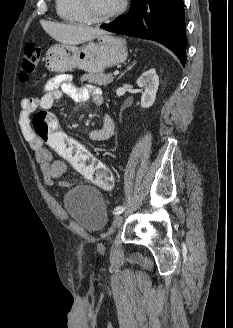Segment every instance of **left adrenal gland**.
Segmentation results:
<instances>
[{
	"instance_id": "obj_1",
	"label": "left adrenal gland",
	"mask_w": 233,
	"mask_h": 328,
	"mask_svg": "<svg viewBox=\"0 0 233 328\" xmlns=\"http://www.w3.org/2000/svg\"><path fill=\"white\" fill-rule=\"evenodd\" d=\"M135 63L136 62H134L132 65H130L119 77H118V79H120L127 71H129L132 67H133V65H135Z\"/></svg>"
}]
</instances>
